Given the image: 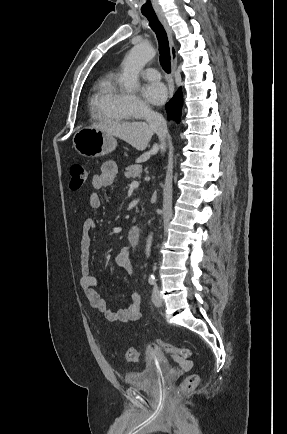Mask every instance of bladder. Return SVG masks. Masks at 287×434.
Returning a JSON list of instances; mask_svg holds the SVG:
<instances>
[{
	"instance_id": "bladder-1",
	"label": "bladder",
	"mask_w": 287,
	"mask_h": 434,
	"mask_svg": "<svg viewBox=\"0 0 287 434\" xmlns=\"http://www.w3.org/2000/svg\"><path fill=\"white\" fill-rule=\"evenodd\" d=\"M171 371L169 360L160 352L147 353L144 363L125 375V383L135 388L152 387Z\"/></svg>"
}]
</instances>
